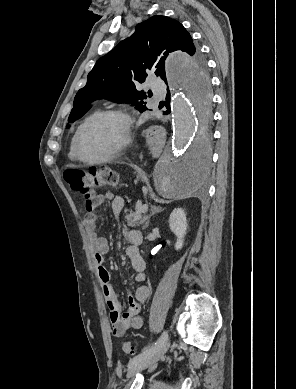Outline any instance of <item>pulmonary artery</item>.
I'll use <instances>...</instances> for the list:
<instances>
[{"mask_svg":"<svg viewBox=\"0 0 296 389\" xmlns=\"http://www.w3.org/2000/svg\"><path fill=\"white\" fill-rule=\"evenodd\" d=\"M150 88L153 91L158 92V93H163L164 92V85H163V83H161L159 81H152L150 83Z\"/></svg>","mask_w":296,"mask_h":389,"instance_id":"obj_1","label":"pulmonary artery"}]
</instances>
